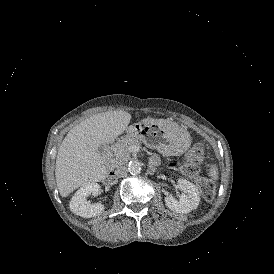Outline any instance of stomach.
I'll return each mask as SVG.
<instances>
[{"label":"stomach","instance_id":"stomach-1","mask_svg":"<svg viewBox=\"0 0 274 274\" xmlns=\"http://www.w3.org/2000/svg\"><path fill=\"white\" fill-rule=\"evenodd\" d=\"M179 125L171 120L147 117L125 128V135L134 137L163 155H181L188 148L190 139L187 133L177 135Z\"/></svg>","mask_w":274,"mask_h":274}]
</instances>
